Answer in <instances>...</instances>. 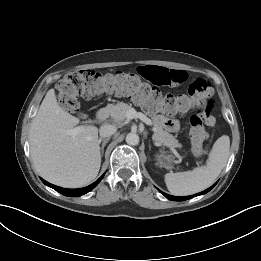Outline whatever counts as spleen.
I'll list each match as a JSON object with an SVG mask.
<instances>
[{
	"mask_svg": "<svg viewBox=\"0 0 261 261\" xmlns=\"http://www.w3.org/2000/svg\"><path fill=\"white\" fill-rule=\"evenodd\" d=\"M229 150L230 138L223 135L214 143L206 166L192 171L167 173L164 177L167 189L172 195L187 196L208 188L226 166Z\"/></svg>",
	"mask_w": 261,
	"mask_h": 261,
	"instance_id": "spleen-1",
	"label": "spleen"
}]
</instances>
